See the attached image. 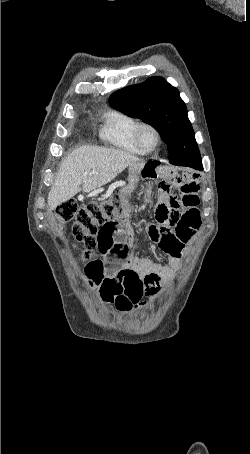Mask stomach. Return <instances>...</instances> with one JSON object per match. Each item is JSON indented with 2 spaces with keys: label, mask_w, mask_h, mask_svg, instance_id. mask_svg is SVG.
Masks as SVG:
<instances>
[{
  "label": "stomach",
  "mask_w": 250,
  "mask_h": 454,
  "mask_svg": "<svg viewBox=\"0 0 250 454\" xmlns=\"http://www.w3.org/2000/svg\"><path fill=\"white\" fill-rule=\"evenodd\" d=\"M157 167L153 162L144 163L142 166L131 165L129 176H155Z\"/></svg>",
  "instance_id": "1"
}]
</instances>
